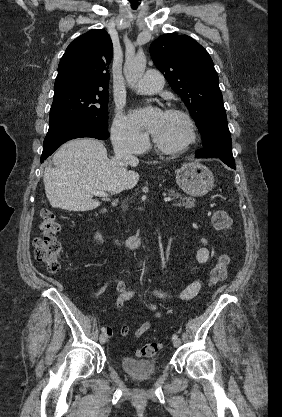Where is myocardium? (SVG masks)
Instances as JSON below:
<instances>
[{
  "label": "myocardium",
  "mask_w": 282,
  "mask_h": 417,
  "mask_svg": "<svg viewBox=\"0 0 282 417\" xmlns=\"http://www.w3.org/2000/svg\"><path fill=\"white\" fill-rule=\"evenodd\" d=\"M165 114L174 115V116L181 118L186 126L187 135L185 139L181 141L180 143L169 145V144H165L161 142L155 136V134H153V142L155 143V145L162 150L175 152V151L182 150L190 146L192 143H194L196 139V131H195V125H194L192 118L187 113L181 110H177V109H168L165 111Z\"/></svg>",
  "instance_id": "obj_1"
}]
</instances>
